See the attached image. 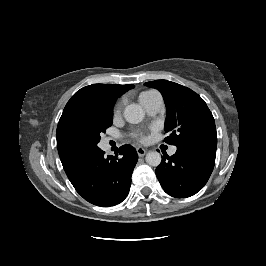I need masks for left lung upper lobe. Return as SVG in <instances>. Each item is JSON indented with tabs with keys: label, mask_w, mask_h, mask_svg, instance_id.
Wrapping results in <instances>:
<instances>
[{
	"label": "left lung upper lobe",
	"mask_w": 266,
	"mask_h": 266,
	"mask_svg": "<svg viewBox=\"0 0 266 266\" xmlns=\"http://www.w3.org/2000/svg\"><path fill=\"white\" fill-rule=\"evenodd\" d=\"M146 86L158 89L167 108L164 130L170 133L165 142L171 145H214L217 133L213 115L205 101L191 89L180 84L156 80Z\"/></svg>",
	"instance_id": "left-lung-upper-lobe-1"
}]
</instances>
